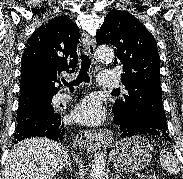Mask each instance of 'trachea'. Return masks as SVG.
<instances>
[{
	"label": "trachea",
	"mask_w": 183,
	"mask_h": 179,
	"mask_svg": "<svg viewBox=\"0 0 183 179\" xmlns=\"http://www.w3.org/2000/svg\"><path fill=\"white\" fill-rule=\"evenodd\" d=\"M91 65V60L88 55L84 54L83 52L81 53V68L79 71V74L77 78L71 82H66L63 80L64 85H66L70 91L74 90V86L79 85L82 82L89 83L90 77L88 75V70ZM117 91V90H114Z\"/></svg>",
	"instance_id": "1"
}]
</instances>
